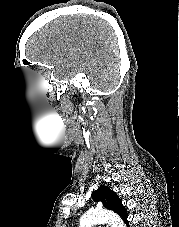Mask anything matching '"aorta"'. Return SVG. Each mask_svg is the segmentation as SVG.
Returning a JSON list of instances; mask_svg holds the SVG:
<instances>
[{"label": "aorta", "instance_id": "aorta-1", "mask_svg": "<svg viewBox=\"0 0 179 227\" xmlns=\"http://www.w3.org/2000/svg\"><path fill=\"white\" fill-rule=\"evenodd\" d=\"M100 223H111L112 227H125L123 221L111 211L93 209L84 213L80 218V227H93Z\"/></svg>", "mask_w": 179, "mask_h": 227}]
</instances>
